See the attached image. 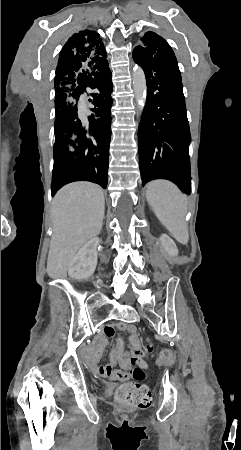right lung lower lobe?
I'll return each mask as SVG.
<instances>
[{"label": "right lung lower lobe", "instance_id": "1", "mask_svg": "<svg viewBox=\"0 0 241 450\" xmlns=\"http://www.w3.org/2000/svg\"><path fill=\"white\" fill-rule=\"evenodd\" d=\"M108 61L68 76L64 86L68 89L61 101L66 107L55 120L54 166L52 195L62 186L74 181H90L106 188L108 181V157L111 139V92L113 84ZM96 89L91 93L90 109L98 119L91 118L83 126L78 118L76 101L86 88ZM90 118V117H89Z\"/></svg>", "mask_w": 241, "mask_h": 450}]
</instances>
